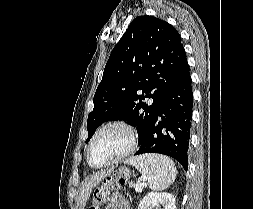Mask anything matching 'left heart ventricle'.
<instances>
[{"label": "left heart ventricle", "mask_w": 253, "mask_h": 209, "mask_svg": "<svg viewBox=\"0 0 253 209\" xmlns=\"http://www.w3.org/2000/svg\"><path fill=\"white\" fill-rule=\"evenodd\" d=\"M129 143L127 132L121 127L104 130L94 141L91 161L95 165L104 164L119 155Z\"/></svg>", "instance_id": "1"}]
</instances>
